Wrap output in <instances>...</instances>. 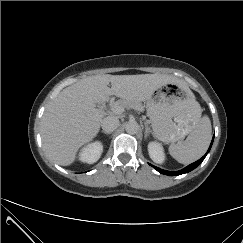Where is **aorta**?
<instances>
[{
	"label": "aorta",
	"instance_id": "obj_1",
	"mask_svg": "<svg viewBox=\"0 0 243 243\" xmlns=\"http://www.w3.org/2000/svg\"><path fill=\"white\" fill-rule=\"evenodd\" d=\"M125 130L129 134H135L139 130V125L136 121H129L125 126Z\"/></svg>",
	"mask_w": 243,
	"mask_h": 243
}]
</instances>
